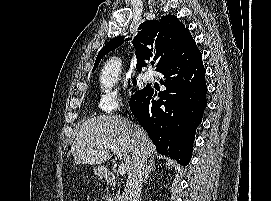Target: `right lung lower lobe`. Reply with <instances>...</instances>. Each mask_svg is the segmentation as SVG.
<instances>
[{
    "label": "right lung lower lobe",
    "mask_w": 271,
    "mask_h": 201,
    "mask_svg": "<svg viewBox=\"0 0 271 201\" xmlns=\"http://www.w3.org/2000/svg\"><path fill=\"white\" fill-rule=\"evenodd\" d=\"M166 90L147 88L131 97L132 114L147 131L160 154L186 166L192 156L196 128L207 105L205 68L194 39L189 38L159 70Z\"/></svg>",
    "instance_id": "obj_1"
}]
</instances>
